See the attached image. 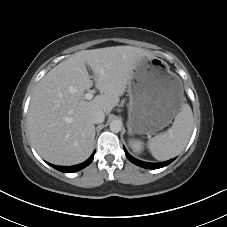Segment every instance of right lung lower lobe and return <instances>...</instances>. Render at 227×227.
<instances>
[{"label": "right lung lower lobe", "mask_w": 227, "mask_h": 227, "mask_svg": "<svg viewBox=\"0 0 227 227\" xmlns=\"http://www.w3.org/2000/svg\"><path fill=\"white\" fill-rule=\"evenodd\" d=\"M94 154H95V152L90 156L89 159H87L85 162H83L81 164H78V165L69 166V167H66V166H56V165H52V164H50V165L53 168H55V169H57V170H59L61 172H66V173H68V172H76V171H79V170L85 168L86 166H88L92 162V160L94 158Z\"/></svg>", "instance_id": "right-lung-lower-lobe-1"}]
</instances>
